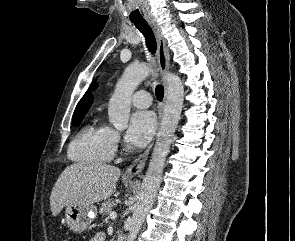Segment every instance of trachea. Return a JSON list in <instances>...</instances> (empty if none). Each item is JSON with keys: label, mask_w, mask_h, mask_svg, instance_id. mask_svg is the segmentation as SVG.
<instances>
[{"label": "trachea", "mask_w": 295, "mask_h": 241, "mask_svg": "<svg viewBox=\"0 0 295 241\" xmlns=\"http://www.w3.org/2000/svg\"><path fill=\"white\" fill-rule=\"evenodd\" d=\"M132 23H134L136 28L144 35L148 50L154 54L157 48V43H156L155 36L151 28L147 24V22L145 20H137V21H132ZM155 94H156L157 100L162 101L164 96V88L162 85L156 86Z\"/></svg>", "instance_id": "3493384b"}]
</instances>
